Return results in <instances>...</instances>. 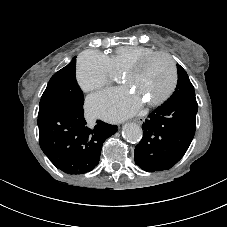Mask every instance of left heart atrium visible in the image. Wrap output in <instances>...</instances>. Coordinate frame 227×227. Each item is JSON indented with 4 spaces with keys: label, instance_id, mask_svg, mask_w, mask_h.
<instances>
[{
    "label": "left heart atrium",
    "instance_id": "39dd6f15",
    "mask_svg": "<svg viewBox=\"0 0 227 227\" xmlns=\"http://www.w3.org/2000/svg\"><path fill=\"white\" fill-rule=\"evenodd\" d=\"M142 100L127 88H114L93 95L87 100L88 111L109 121H119L136 113Z\"/></svg>",
    "mask_w": 227,
    "mask_h": 227
}]
</instances>
